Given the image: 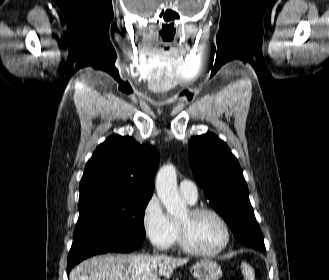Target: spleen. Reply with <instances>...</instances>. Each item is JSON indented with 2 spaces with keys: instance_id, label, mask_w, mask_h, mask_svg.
Segmentation results:
<instances>
[{
  "instance_id": "1",
  "label": "spleen",
  "mask_w": 329,
  "mask_h": 280,
  "mask_svg": "<svg viewBox=\"0 0 329 280\" xmlns=\"http://www.w3.org/2000/svg\"><path fill=\"white\" fill-rule=\"evenodd\" d=\"M242 274L245 280H255V273L253 268L246 262L241 263Z\"/></svg>"
}]
</instances>
